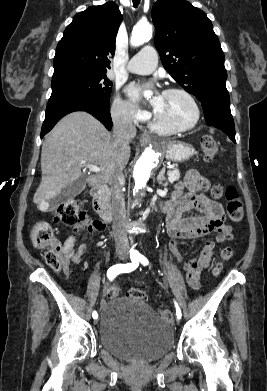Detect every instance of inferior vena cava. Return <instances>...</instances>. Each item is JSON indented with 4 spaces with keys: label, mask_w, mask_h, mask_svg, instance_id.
Returning a JSON list of instances; mask_svg holds the SVG:
<instances>
[{
    "label": "inferior vena cava",
    "mask_w": 267,
    "mask_h": 391,
    "mask_svg": "<svg viewBox=\"0 0 267 391\" xmlns=\"http://www.w3.org/2000/svg\"><path fill=\"white\" fill-rule=\"evenodd\" d=\"M136 135V128L132 123V119L127 114L116 115L113 118V146L119 151L128 150L129 142ZM124 176L121 170L116 166L113 168L109 178V184L112 195V211H113V232L115 239L116 251L126 253L128 251L126 224V209L125 198L123 193Z\"/></svg>",
    "instance_id": "602c4592"
}]
</instances>
